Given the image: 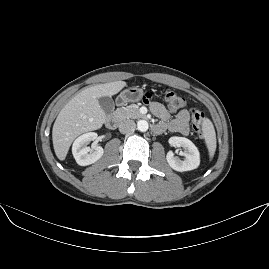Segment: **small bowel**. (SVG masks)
<instances>
[{"instance_id":"small-bowel-1","label":"small bowel","mask_w":269,"mask_h":269,"mask_svg":"<svg viewBox=\"0 0 269 269\" xmlns=\"http://www.w3.org/2000/svg\"><path fill=\"white\" fill-rule=\"evenodd\" d=\"M152 112L159 117L162 122L157 124L154 127V131L156 133H162L166 129L170 130L171 132H176L181 135H188L190 131L189 126V111L187 109H183L177 113L174 119L168 120L169 115L161 103L154 102L151 104Z\"/></svg>"}]
</instances>
